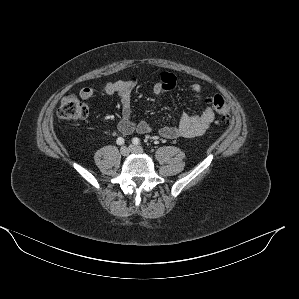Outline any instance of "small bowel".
<instances>
[{
	"label": "small bowel",
	"instance_id": "small-bowel-1",
	"mask_svg": "<svg viewBox=\"0 0 299 299\" xmlns=\"http://www.w3.org/2000/svg\"><path fill=\"white\" fill-rule=\"evenodd\" d=\"M139 82L140 79L132 75L122 80L106 83L101 90L104 94H118L120 97L122 112L117 127L124 135L133 132L148 134L151 131V127L147 122H136L132 119L131 93ZM176 83L177 78L174 74L162 72L159 81L153 85L152 91L156 95H162L173 90ZM188 88L193 93L200 112L193 115L182 114L176 125L162 126L158 131L161 137L167 139L197 137L202 135L214 120L213 109L210 106L203 105L202 85L198 82H190ZM94 94L95 90L92 87H84L79 92L80 97L84 100L92 98Z\"/></svg>",
	"mask_w": 299,
	"mask_h": 299
}]
</instances>
